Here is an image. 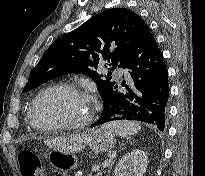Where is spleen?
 I'll list each match as a JSON object with an SVG mask.
<instances>
[{"label":"spleen","instance_id":"3e777b00","mask_svg":"<svg viewBox=\"0 0 205 176\" xmlns=\"http://www.w3.org/2000/svg\"><path fill=\"white\" fill-rule=\"evenodd\" d=\"M103 127L115 132L121 137H127L140 131L141 125L134 121H113L105 124Z\"/></svg>","mask_w":205,"mask_h":176}]
</instances>
